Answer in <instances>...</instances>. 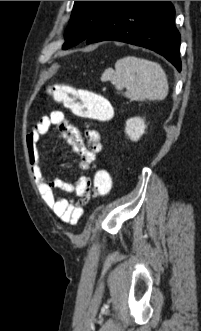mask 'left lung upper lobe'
Segmentation results:
<instances>
[{
  "label": "left lung upper lobe",
  "instance_id": "obj_1",
  "mask_svg": "<svg viewBox=\"0 0 201 331\" xmlns=\"http://www.w3.org/2000/svg\"><path fill=\"white\" fill-rule=\"evenodd\" d=\"M120 1H75L65 31L63 49H68L88 36L100 25Z\"/></svg>",
  "mask_w": 201,
  "mask_h": 331
}]
</instances>
